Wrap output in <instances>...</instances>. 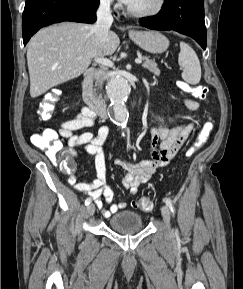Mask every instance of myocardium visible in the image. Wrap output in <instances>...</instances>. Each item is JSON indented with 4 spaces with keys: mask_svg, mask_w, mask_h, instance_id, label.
<instances>
[{
    "mask_svg": "<svg viewBox=\"0 0 243 289\" xmlns=\"http://www.w3.org/2000/svg\"><path fill=\"white\" fill-rule=\"evenodd\" d=\"M165 5H166V0H156L154 6L151 7L150 9L137 11L127 6L126 12L133 17L146 18V17H151L160 13L164 9Z\"/></svg>",
    "mask_w": 243,
    "mask_h": 289,
    "instance_id": "f54148a6",
    "label": "myocardium"
}]
</instances>
